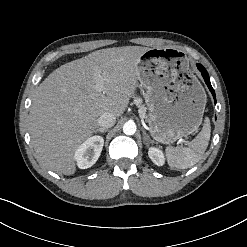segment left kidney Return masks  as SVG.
Listing matches in <instances>:
<instances>
[{
    "mask_svg": "<svg viewBox=\"0 0 247 247\" xmlns=\"http://www.w3.org/2000/svg\"><path fill=\"white\" fill-rule=\"evenodd\" d=\"M148 155L152 162L157 166H162L165 162L164 155L161 150L155 147L149 148Z\"/></svg>",
    "mask_w": 247,
    "mask_h": 247,
    "instance_id": "5707ae66",
    "label": "left kidney"
}]
</instances>
